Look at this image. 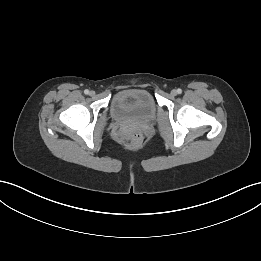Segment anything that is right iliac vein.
<instances>
[{"label": "right iliac vein", "mask_w": 261, "mask_h": 261, "mask_svg": "<svg viewBox=\"0 0 261 261\" xmlns=\"http://www.w3.org/2000/svg\"><path fill=\"white\" fill-rule=\"evenodd\" d=\"M90 95H91V96H94V95H95V92H94V91H91V92H90Z\"/></svg>", "instance_id": "63e3f726"}]
</instances>
